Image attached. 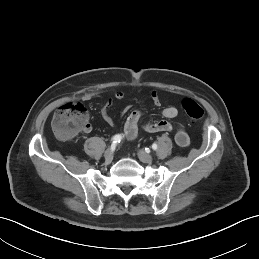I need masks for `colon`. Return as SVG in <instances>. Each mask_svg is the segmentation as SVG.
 I'll use <instances>...</instances> for the list:
<instances>
[{
	"mask_svg": "<svg viewBox=\"0 0 259 259\" xmlns=\"http://www.w3.org/2000/svg\"><path fill=\"white\" fill-rule=\"evenodd\" d=\"M183 112L196 123L203 117V109L190 98L183 99L181 103ZM89 124V112L82 103L68 102L56 112L52 126L54 131L62 138H69L82 131Z\"/></svg>",
	"mask_w": 259,
	"mask_h": 259,
	"instance_id": "obj_1",
	"label": "colon"
}]
</instances>
